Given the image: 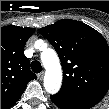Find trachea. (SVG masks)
<instances>
[{
	"instance_id": "obj_1",
	"label": "trachea",
	"mask_w": 109,
	"mask_h": 109,
	"mask_svg": "<svg viewBox=\"0 0 109 109\" xmlns=\"http://www.w3.org/2000/svg\"><path fill=\"white\" fill-rule=\"evenodd\" d=\"M31 69L33 70L34 73H40L42 70L41 63L39 61H33L31 63Z\"/></svg>"
}]
</instances>
